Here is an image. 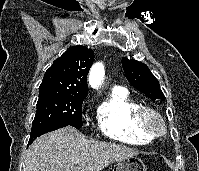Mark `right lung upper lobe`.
Listing matches in <instances>:
<instances>
[{
  "mask_svg": "<svg viewBox=\"0 0 199 171\" xmlns=\"http://www.w3.org/2000/svg\"><path fill=\"white\" fill-rule=\"evenodd\" d=\"M94 61V52L85 46H73L46 71L41 90H55L86 97L87 74Z\"/></svg>",
  "mask_w": 199,
  "mask_h": 171,
  "instance_id": "1",
  "label": "right lung upper lobe"
}]
</instances>
